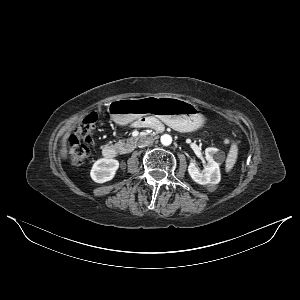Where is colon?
<instances>
[{
	"label": "colon",
	"instance_id": "obj_1",
	"mask_svg": "<svg viewBox=\"0 0 300 300\" xmlns=\"http://www.w3.org/2000/svg\"><path fill=\"white\" fill-rule=\"evenodd\" d=\"M97 122L95 115L84 118L68 138V153L73 165L79 166L85 162L90 153L94 129Z\"/></svg>",
	"mask_w": 300,
	"mask_h": 300
}]
</instances>
